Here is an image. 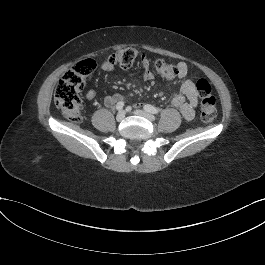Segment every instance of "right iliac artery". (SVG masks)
Here are the masks:
<instances>
[{
	"mask_svg": "<svg viewBox=\"0 0 265 265\" xmlns=\"http://www.w3.org/2000/svg\"><path fill=\"white\" fill-rule=\"evenodd\" d=\"M124 107V102L120 101L116 104V110L121 111Z\"/></svg>",
	"mask_w": 265,
	"mask_h": 265,
	"instance_id": "obj_1",
	"label": "right iliac artery"
}]
</instances>
